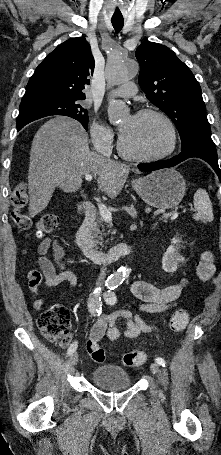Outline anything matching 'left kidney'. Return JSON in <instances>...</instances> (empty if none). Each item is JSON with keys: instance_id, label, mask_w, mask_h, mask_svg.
Listing matches in <instances>:
<instances>
[{"instance_id": "1", "label": "left kidney", "mask_w": 221, "mask_h": 455, "mask_svg": "<svg viewBox=\"0 0 221 455\" xmlns=\"http://www.w3.org/2000/svg\"><path fill=\"white\" fill-rule=\"evenodd\" d=\"M172 246L167 250L166 254L162 258V268L165 272L173 273L177 270L179 263L184 261V257L181 256L178 252L177 245L180 243V240L173 238Z\"/></svg>"}]
</instances>
